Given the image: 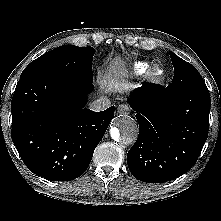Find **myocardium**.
I'll return each mask as SVG.
<instances>
[{"mask_svg": "<svg viewBox=\"0 0 221 221\" xmlns=\"http://www.w3.org/2000/svg\"><path fill=\"white\" fill-rule=\"evenodd\" d=\"M165 69L158 64H155L149 68L145 73V79L151 84H160L166 79Z\"/></svg>", "mask_w": 221, "mask_h": 221, "instance_id": "1", "label": "myocardium"}]
</instances>
